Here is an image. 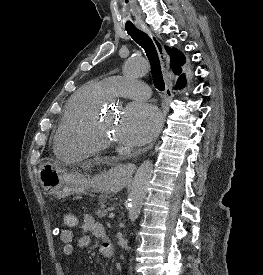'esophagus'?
Listing matches in <instances>:
<instances>
[{
	"instance_id": "esophagus-1",
	"label": "esophagus",
	"mask_w": 263,
	"mask_h": 275,
	"mask_svg": "<svg viewBox=\"0 0 263 275\" xmlns=\"http://www.w3.org/2000/svg\"><path fill=\"white\" fill-rule=\"evenodd\" d=\"M138 27L141 30H143L144 32H146L150 36V38L152 39V41H153V43L156 47V50L158 52L160 62H161L163 75H164V80H165V100H164L163 105H162V108H163V110H162V122L164 123L165 117H166V114H167L168 103H169V100H170V97H171V87H172L171 79H170V76H169V58H168V55H167V52H166L164 46L158 40V38L149 30V28L145 24L139 25ZM155 141L156 140H154L149 146L144 148L143 151H147V150L151 149L154 146ZM135 169H136V166L133 163H125L121 166V170L123 172H125L126 174H129V175H131L135 171Z\"/></svg>"
}]
</instances>
